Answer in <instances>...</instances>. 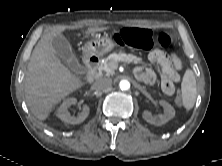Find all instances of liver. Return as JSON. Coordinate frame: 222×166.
I'll return each instance as SVG.
<instances>
[{"label":"liver","instance_id":"obj_1","mask_svg":"<svg viewBox=\"0 0 222 166\" xmlns=\"http://www.w3.org/2000/svg\"><path fill=\"white\" fill-rule=\"evenodd\" d=\"M66 29L55 26L46 32L35 46L25 76L26 103L39 120L47 119L52 108L66 96L84 85L80 77L73 74L57 57L52 40ZM107 27L88 28L86 34H94Z\"/></svg>","mask_w":222,"mask_h":166}]
</instances>
